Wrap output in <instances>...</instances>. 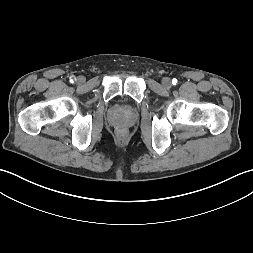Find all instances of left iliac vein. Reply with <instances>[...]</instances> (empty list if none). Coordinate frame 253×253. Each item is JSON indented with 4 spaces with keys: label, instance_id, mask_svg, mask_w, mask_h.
Here are the masks:
<instances>
[{
    "label": "left iliac vein",
    "instance_id": "left-iliac-vein-1",
    "mask_svg": "<svg viewBox=\"0 0 253 253\" xmlns=\"http://www.w3.org/2000/svg\"><path fill=\"white\" fill-rule=\"evenodd\" d=\"M162 84H163L164 87L170 88L171 85H172V82L168 77H165V78L162 79Z\"/></svg>",
    "mask_w": 253,
    "mask_h": 253
}]
</instances>
